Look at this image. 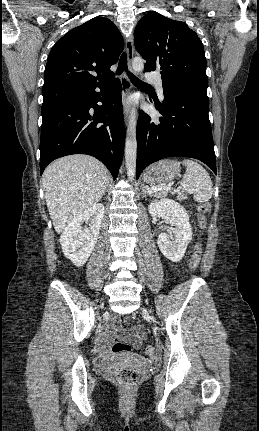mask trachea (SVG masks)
I'll list each match as a JSON object with an SVG mask.
<instances>
[{
  "label": "trachea",
  "instance_id": "obj_1",
  "mask_svg": "<svg viewBox=\"0 0 259 431\" xmlns=\"http://www.w3.org/2000/svg\"><path fill=\"white\" fill-rule=\"evenodd\" d=\"M124 70L127 71V74L129 76L130 80L132 81V83L138 84V85H147L146 83H144L140 79H138L133 73H131L127 70V55H126V53H123L121 58H120L117 74H121Z\"/></svg>",
  "mask_w": 259,
  "mask_h": 431
}]
</instances>
